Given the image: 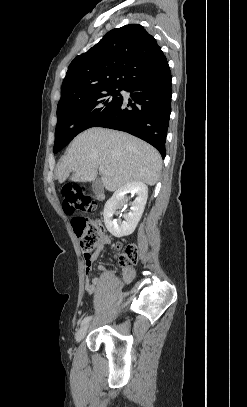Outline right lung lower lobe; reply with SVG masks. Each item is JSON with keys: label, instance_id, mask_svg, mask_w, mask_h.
<instances>
[{"label": "right lung lower lobe", "instance_id": "1", "mask_svg": "<svg viewBox=\"0 0 247 407\" xmlns=\"http://www.w3.org/2000/svg\"><path fill=\"white\" fill-rule=\"evenodd\" d=\"M171 79L168 61L153 70L136 75L124 87V90L130 92L133 102L123 99L95 126L137 136L154 146L164 158L171 113Z\"/></svg>", "mask_w": 247, "mask_h": 407}]
</instances>
